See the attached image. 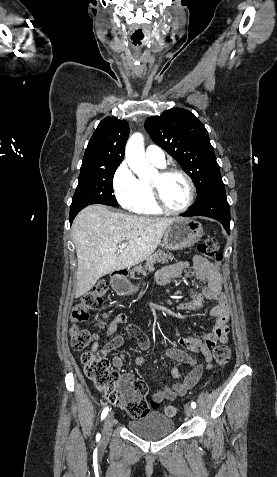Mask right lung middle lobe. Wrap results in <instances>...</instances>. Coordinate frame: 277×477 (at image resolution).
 <instances>
[{"instance_id":"right-lung-middle-lobe-1","label":"right lung middle lobe","mask_w":277,"mask_h":477,"mask_svg":"<svg viewBox=\"0 0 277 477\" xmlns=\"http://www.w3.org/2000/svg\"><path fill=\"white\" fill-rule=\"evenodd\" d=\"M116 167L80 171L79 182L70 206V223L77 213L90 204H117L113 193V176Z\"/></svg>"}]
</instances>
